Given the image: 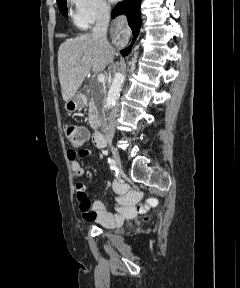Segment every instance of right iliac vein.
Listing matches in <instances>:
<instances>
[{"label":"right iliac vein","instance_id":"obj_1","mask_svg":"<svg viewBox=\"0 0 240 288\" xmlns=\"http://www.w3.org/2000/svg\"><path fill=\"white\" fill-rule=\"evenodd\" d=\"M111 153L113 155L115 165L121 170V160H120V156H119L117 149H115L114 147H111Z\"/></svg>","mask_w":240,"mask_h":288}]
</instances>
